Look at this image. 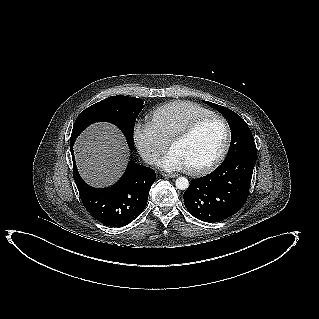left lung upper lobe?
<instances>
[{
    "instance_id": "obj_1",
    "label": "left lung upper lobe",
    "mask_w": 319,
    "mask_h": 319,
    "mask_svg": "<svg viewBox=\"0 0 319 319\" xmlns=\"http://www.w3.org/2000/svg\"><path fill=\"white\" fill-rule=\"evenodd\" d=\"M203 102L217 109L225 117V119L228 120V124L231 129V143L229 152L224 161L242 155L257 158L255 142L246 122L238 114L221 105L204 100Z\"/></svg>"
}]
</instances>
